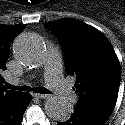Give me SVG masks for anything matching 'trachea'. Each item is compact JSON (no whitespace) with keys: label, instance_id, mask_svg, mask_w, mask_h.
Segmentation results:
<instances>
[{"label":"trachea","instance_id":"3493384b","mask_svg":"<svg viewBox=\"0 0 125 125\" xmlns=\"http://www.w3.org/2000/svg\"><path fill=\"white\" fill-rule=\"evenodd\" d=\"M6 86L9 89L18 90V91H34L36 93H42V94L50 93L49 90H47L44 87L31 88L29 86H13L11 84H6Z\"/></svg>","mask_w":125,"mask_h":125}]
</instances>
